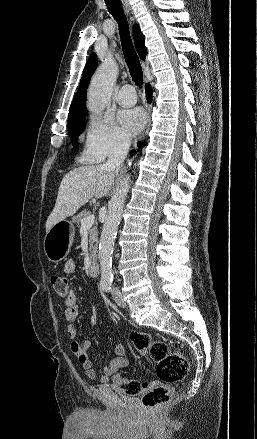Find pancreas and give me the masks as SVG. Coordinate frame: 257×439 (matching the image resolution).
<instances>
[{"instance_id":"1","label":"pancreas","mask_w":257,"mask_h":439,"mask_svg":"<svg viewBox=\"0 0 257 439\" xmlns=\"http://www.w3.org/2000/svg\"><path fill=\"white\" fill-rule=\"evenodd\" d=\"M89 215H90L89 211L83 210L76 216L72 217V222L77 224V226H80L82 219L88 217ZM89 233H90V248L93 249L94 242H97V235H98L97 226L95 225L92 229H90Z\"/></svg>"}]
</instances>
